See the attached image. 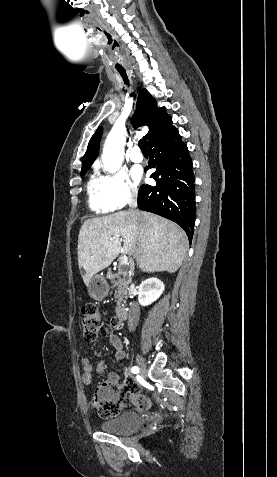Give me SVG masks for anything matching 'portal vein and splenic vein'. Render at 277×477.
<instances>
[{"mask_svg": "<svg viewBox=\"0 0 277 477\" xmlns=\"http://www.w3.org/2000/svg\"><path fill=\"white\" fill-rule=\"evenodd\" d=\"M127 263H128V256L123 255L119 258V264L120 265H126Z\"/></svg>", "mask_w": 277, "mask_h": 477, "instance_id": "portal-vein-and-splenic-vein-1", "label": "portal vein and splenic vein"}]
</instances>
